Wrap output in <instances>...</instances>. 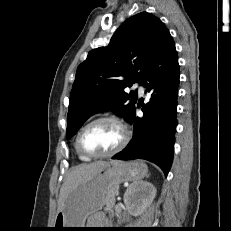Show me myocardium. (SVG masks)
I'll list each match as a JSON object with an SVG mask.
<instances>
[{
  "label": "myocardium",
  "instance_id": "myocardium-1",
  "mask_svg": "<svg viewBox=\"0 0 231 231\" xmlns=\"http://www.w3.org/2000/svg\"><path fill=\"white\" fill-rule=\"evenodd\" d=\"M98 122H112V123L116 124L122 131V139H121L120 143L114 149H112L108 152L101 153V154H91V153L84 150V148L82 146V137H83L84 132L90 126H92ZM130 137H131V132H130L129 128L127 127V125L121 119H119L118 117L109 116V115L99 116V117L89 121L87 124H85L81 128V130L77 134L76 148H77L78 152L86 158H89V159L105 158V157L113 156V155L119 153L120 151H122L126 147V145L128 144Z\"/></svg>",
  "mask_w": 231,
  "mask_h": 231
}]
</instances>
